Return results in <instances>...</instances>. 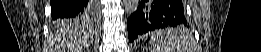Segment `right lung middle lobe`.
Listing matches in <instances>:
<instances>
[{"label": "right lung middle lobe", "instance_id": "dd1d6c3e", "mask_svg": "<svg viewBox=\"0 0 261 52\" xmlns=\"http://www.w3.org/2000/svg\"><path fill=\"white\" fill-rule=\"evenodd\" d=\"M96 5H98V3L96 2ZM54 20V19H53ZM56 21L54 22L55 25L58 26H64V25H72L73 23H78L83 21V23H94L95 20V16H86V15H80L75 17L74 19H70V18H60V19H55Z\"/></svg>", "mask_w": 261, "mask_h": 52}]
</instances>
